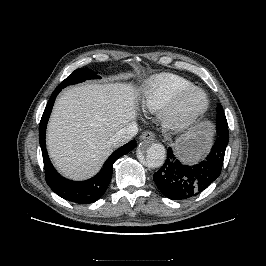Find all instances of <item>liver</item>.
Masks as SVG:
<instances>
[{
  "label": "liver",
  "instance_id": "liver-1",
  "mask_svg": "<svg viewBox=\"0 0 266 266\" xmlns=\"http://www.w3.org/2000/svg\"><path fill=\"white\" fill-rule=\"evenodd\" d=\"M137 94L130 84H85L57 99L47 128V148L66 177L93 176L112 152L110 138L137 115Z\"/></svg>",
  "mask_w": 266,
  "mask_h": 266
}]
</instances>
